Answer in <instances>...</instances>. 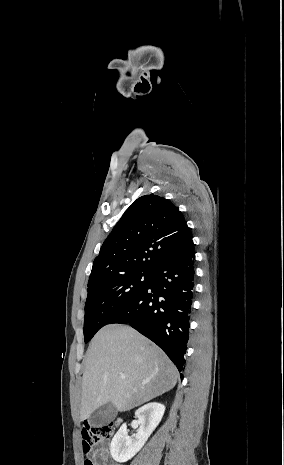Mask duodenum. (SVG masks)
Returning <instances> with one entry per match:
<instances>
[{
	"label": "duodenum",
	"instance_id": "obj_1",
	"mask_svg": "<svg viewBox=\"0 0 284 465\" xmlns=\"http://www.w3.org/2000/svg\"><path fill=\"white\" fill-rule=\"evenodd\" d=\"M121 423H122V419H121V418H117V419L115 420V422H114V425H115V427H119V426L121 425Z\"/></svg>",
	"mask_w": 284,
	"mask_h": 465
}]
</instances>
